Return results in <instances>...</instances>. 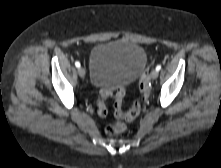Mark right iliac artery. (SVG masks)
I'll return each mask as SVG.
<instances>
[{"label": "right iliac artery", "mask_w": 221, "mask_h": 168, "mask_svg": "<svg viewBox=\"0 0 221 168\" xmlns=\"http://www.w3.org/2000/svg\"><path fill=\"white\" fill-rule=\"evenodd\" d=\"M75 66H76L77 68H79V67H80V63H79L78 61H76V62H75Z\"/></svg>", "instance_id": "1"}]
</instances>
